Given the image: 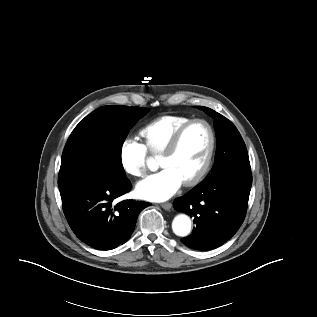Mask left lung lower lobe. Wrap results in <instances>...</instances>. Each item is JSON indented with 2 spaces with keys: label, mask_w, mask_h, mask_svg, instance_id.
<instances>
[{
  "label": "left lung lower lobe",
  "mask_w": 317,
  "mask_h": 317,
  "mask_svg": "<svg viewBox=\"0 0 317 317\" xmlns=\"http://www.w3.org/2000/svg\"><path fill=\"white\" fill-rule=\"evenodd\" d=\"M251 171H233L213 181H203L173 206L194 217L190 236L181 239L192 249L209 250L230 239L240 228L246 215Z\"/></svg>",
  "instance_id": "1"
}]
</instances>
